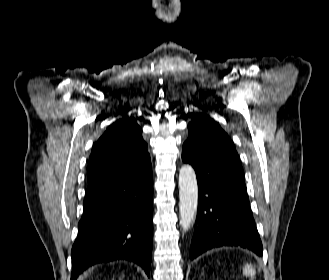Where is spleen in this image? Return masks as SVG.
I'll list each match as a JSON object with an SVG mask.
<instances>
[{
	"label": "spleen",
	"mask_w": 329,
	"mask_h": 280,
	"mask_svg": "<svg viewBox=\"0 0 329 280\" xmlns=\"http://www.w3.org/2000/svg\"><path fill=\"white\" fill-rule=\"evenodd\" d=\"M243 273L246 275V277H251V280H253V277L255 276V269L250 264H246L243 268Z\"/></svg>",
	"instance_id": "3e777b00"
}]
</instances>
